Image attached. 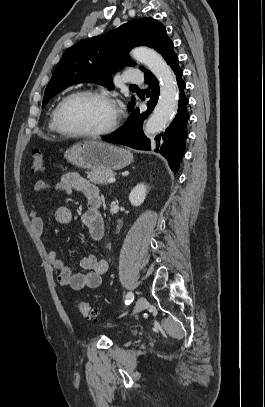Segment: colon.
Segmentation results:
<instances>
[{
    "label": "colon",
    "instance_id": "1",
    "mask_svg": "<svg viewBox=\"0 0 265 407\" xmlns=\"http://www.w3.org/2000/svg\"><path fill=\"white\" fill-rule=\"evenodd\" d=\"M44 170V160L42 154L36 150L32 154L31 159V171L33 173L42 172ZM77 308L81 315L87 319H96L98 312L97 309L93 308L87 301L79 300L77 301Z\"/></svg>",
    "mask_w": 265,
    "mask_h": 407
}]
</instances>
